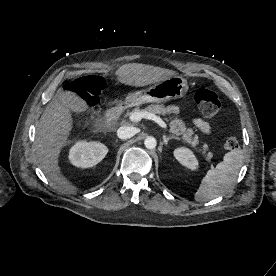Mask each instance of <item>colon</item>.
I'll list each match as a JSON object with an SVG mask.
<instances>
[{"label": "colon", "instance_id": "5ec220e1", "mask_svg": "<svg viewBox=\"0 0 276 276\" xmlns=\"http://www.w3.org/2000/svg\"><path fill=\"white\" fill-rule=\"evenodd\" d=\"M103 82L93 76L77 78L69 84V89L78 93L85 100L86 109L82 116V123L89 125L99 108V94L103 89ZM200 112L209 118L215 117L220 109L218 95L208 89L200 88L194 96ZM224 148L228 151H235L239 148V141L236 137H228L224 142Z\"/></svg>", "mask_w": 276, "mask_h": 276}]
</instances>
